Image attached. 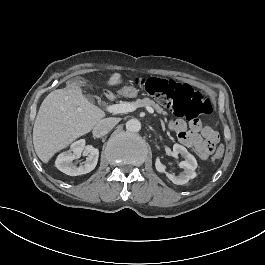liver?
Here are the masks:
<instances>
[{"instance_id":"obj_1","label":"liver","mask_w":265,"mask_h":265,"mask_svg":"<svg viewBox=\"0 0 265 265\" xmlns=\"http://www.w3.org/2000/svg\"><path fill=\"white\" fill-rule=\"evenodd\" d=\"M121 75H111L108 84L117 85ZM105 113L85 98L79 82L52 91L42 102L33 128V144L44 163L76 138L89 133Z\"/></svg>"}]
</instances>
